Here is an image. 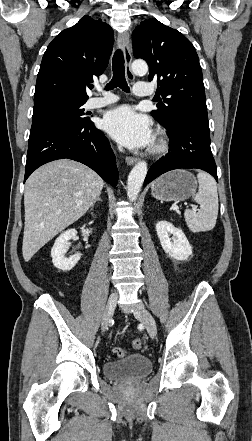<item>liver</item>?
Wrapping results in <instances>:
<instances>
[{
  "label": "liver",
  "mask_w": 252,
  "mask_h": 441,
  "mask_svg": "<svg viewBox=\"0 0 252 441\" xmlns=\"http://www.w3.org/2000/svg\"><path fill=\"white\" fill-rule=\"evenodd\" d=\"M104 181L70 159L47 163L27 179L22 254L28 262L59 232L79 220L101 194Z\"/></svg>",
  "instance_id": "liver-1"
}]
</instances>
